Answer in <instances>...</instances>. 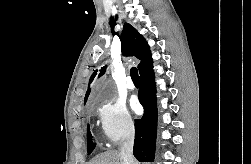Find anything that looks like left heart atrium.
<instances>
[{"instance_id": "left-heart-atrium-1", "label": "left heart atrium", "mask_w": 251, "mask_h": 164, "mask_svg": "<svg viewBox=\"0 0 251 164\" xmlns=\"http://www.w3.org/2000/svg\"><path fill=\"white\" fill-rule=\"evenodd\" d=\"M131 107H132V109H133L135 112H138L139 109H140V106H139V104H138V101H137L135 98H133V99L131 100Z\"/></svg>"}]
</instances>
